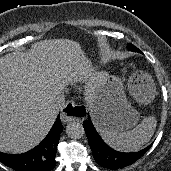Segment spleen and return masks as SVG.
<instances>
[{
    "instance_id": "spleen-1",
    "label": "spleen",
    "mask_w": 171,
    "mask_h": 171,
    "mask_svg": "<svg viewBox=\"0 0 171 171\" xmlns=\"http://www.w3.org/2000/svg\"><path fill=\"white\" fill-rule=\"evenodd\" d=\"M103 139L113 148L121 151H137L153 136L156 119L146 117L134 129L122 132L112 126L96 122Z\"/></svg>"
}]
</instances>
